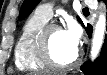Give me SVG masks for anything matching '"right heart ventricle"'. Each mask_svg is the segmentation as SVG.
<instances>
[{
	"instance_id": "right-heart-ventricle-1",
	"label": "right heart ventricle",
	"mask_w": 107,
	"mask_h": 75,
	"mask_svg": "<svg viewBox=\"0 0 107 75\" xmlns=\"http://www.w3.org/2000/svg\"><path fill=\"white\" fill-rule=\"evenodd\" d=\"M47 19L37 12L24 23L14 49V61L21 71L39 72L46 70V66L38 59L34 42L39 31L47 24Z\"/></svg>"
}]
</instances>
